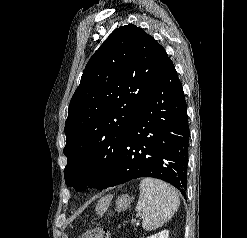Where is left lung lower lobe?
<instances>
[{
  "mask_svg": "<svg viewBox=\"0 0 247 238\" xmlns=\"http://www.w3.org/2000/svg\"><path fill=\"white\" fill-rule=\"evenodd\" d=\"M188 144L185 96L168 58L156 86L129 129L105 188L140 177H154L185 194Z\"/></svg>",
  "mask_w": 247,
  "mask_h": 238,
  "instance_id": "left-lung-lower-lobe-1",
  "label": "left lung lower lobe"
}]
</instances>
